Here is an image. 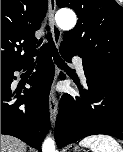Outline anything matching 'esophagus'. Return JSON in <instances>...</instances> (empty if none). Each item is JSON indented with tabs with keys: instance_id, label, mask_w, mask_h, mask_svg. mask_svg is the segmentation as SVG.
<instances>
[{
	"instance_id": "obj_1",
	"label": "esophagus",
	"mask_w": 123,
	"mask_h": 152,
	"mask_svg": "<svg viewBox=\"0 0 123 152\" xmlns=\"http://www.w3.org/2000/svg\"><path fill=\"white\" fill-rule=\"evenodd\" d=\"M48 1H49L48 2V4H49V8H48L49 21H50V26L52 29V38H53V42H54L55 46L58 47L60 44V41H61L62 32L56 25L55 19H54V15H55V11H56V0H48ZM58 73L59 72L56 68L54 80H53V88L57 81ZM53 88H52V90L50 92V96H49V112H50V121H51L52 125L55 123L57 113H58V97Z\"/></svg>"
}]
</instances>
